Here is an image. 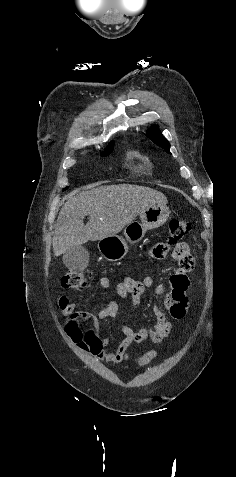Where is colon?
I'll list each match as a JSON object with an SVG mask.
<instances>
[{"label":"colon","instance_id":"5ec220e1","mask_svg":"<svg viewBox=\"0 0 236 477\" xmlns=\"http://www.w3.org/2000/svg\"><path fill=\"white\" fill-rule=\"evenodd\" d=\"M192 226L188 221L172 219L169 223V235L167 244L175 245L173 254L175 258H181L188 254L189 247H185L179 241L190 234ZM88 285V277L82 272L69 271L61 278V286L65 289H84Z\"/></svg>","mask_w":236,"mask_h":477}]
</instances>
